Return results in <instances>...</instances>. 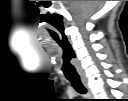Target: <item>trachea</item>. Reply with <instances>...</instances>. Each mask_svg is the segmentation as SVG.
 Returning <instances> with one entry per match:
<instances>
[{"instance_id":"1","label":"trachea","mask_w":128,"mask_h":101,"mask_svg":"<svg viewBox=\"0 0 128 101\" xmlns=\"http://www.w3.org/2000/svg\"><path fill=\"white\" fill-rule=\"evenodd\" d=\"M65 68H66L65 76L71 82L74 89L80 94H86L87 90L82 84L80 77L78 76L76 68L70 63H66Z\"/></svg>"}]
</instances>
